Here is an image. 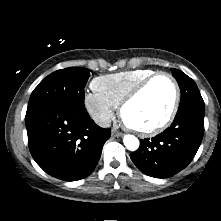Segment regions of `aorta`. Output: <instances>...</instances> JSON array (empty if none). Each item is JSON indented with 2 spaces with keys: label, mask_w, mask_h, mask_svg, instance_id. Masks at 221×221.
<instances>
[{
  "label": "aorta",
  "mask_w": 221,
  "mask_h": 221,
  "mask_svg": "<svg viewBox=\"0 0 221 221\" xmlns=\"http://www.w3.org/2000/svg\"><path fill=\"white\" fill-rule=\"evenodd\" d=\"M123 143L130 151H136L139 148V140L134 135H125L123 138Z\"/></svg>",
  "instance_id": "aorta-1"
}]
</instances>
